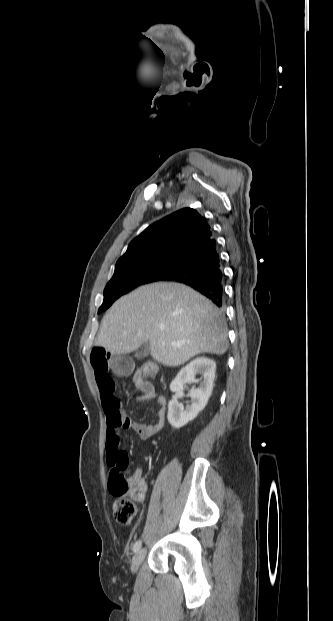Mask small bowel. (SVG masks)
<instances>
[{"label":"small bowel","mask_w":333,"mask_h":621,"mask_svg":"<svg viewBox=\"0 0 333 621\" xmlns=\"http://www.w3.org/2000/svg\"><path fill=\"white\" fill-rule=\"evenodd\" d=\"M90 362L94 370L102 407L106 416L107 463L111 469L117 465H122L126 468L128 466V455L125 451L120 449L122 432L124 430H132L142 440H146L157 434L162 429L165 422L166 400L163 396L158 394L152 383L141 377L133 376L134 384L141 393L138 397V401L157 400L160 405L157 422L146 424L133 421L122 411L120 402L115 396V382L109 373L110 371L114 373L125 371L129 366L128 361L121 357L113 356L102 347H95L91 351ZM142 475V470L138 469L134 472L132 478L143 479ZM145 494L146 483L145 492L138 496L136 500H143Z\"/></svg>","instance_id":"1"}]
</instances>
